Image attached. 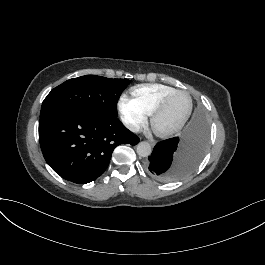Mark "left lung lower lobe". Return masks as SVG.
<instances>
[{"label":"left lung lower lobe","mask_w":265,"mask_h":265,"mask_svg":"<svg viewBox=\"0 0 265 265\" xmlns=\"http://www.w3.org/2000/svg\"><path fill=\"white\" fill-rule=\"evenodd\" d=\"M209 127L198 108L180 137L158 142L146 162V170L154 179L169 182L193 171L202 160L208 144Z\"/></svg>","instance_id":"obj_1"}]
</instances>
